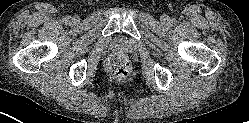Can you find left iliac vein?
Instances as JSON below:
<instances>
[{
    "instance_id": "left-iliac-vein-1",
    "label": "left iliac vein",
    "mask_w": 249,
    "mask_h": 123,
    "mask_svg": "<svg viewBox=\"0 0 249 123\" xmlns=\"http://www.w3.org/2000/svg\"><path fill=\"white\" fill-rule=\"evenodd\" d=\"M161 21H162V23L167 24L169 21V18L166 15H163V16H161Z\"/></svg>"
}]
</instances>
